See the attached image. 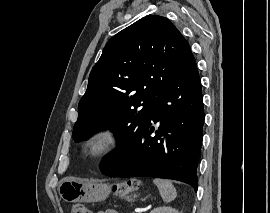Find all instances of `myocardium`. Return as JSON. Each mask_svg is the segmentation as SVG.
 <instances>
[{"mask_svg":"<svg viewBox=\"0 0 270 213\" xmlns=\"http://www.w3.org/2000/svg\"><path fill=\"white\" fill-rule=\"evenodd\" d=\"M121 143L119 131L112 126L92 130L83 141V152L90 158H102L115 151Z\"/></svg>","mask_w":270,"mask_h":213,"instance_id":"f54148a6","label":"myocardium"}]
</instances>
